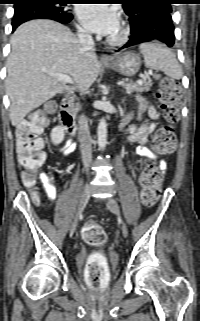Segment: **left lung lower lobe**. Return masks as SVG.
<instances>
[{
    "label": "left lung lower lobe",
    "instance_id": "1",
    "mask_svg": "<svg viewBox=\"0 0 200 321\" xmlns=\"http://www.w3.org/2000/svg\"><path fill=\"white\" fill-rule=\"evenodd\" d=\"M131 36L122 47L127 48L143 42L155 41L172 47L175 43L171 12L154 8L129 16Z\"/></svg>",
    "mask_w": 200,
    "mask_h": 321
}]
</instances>
